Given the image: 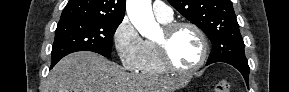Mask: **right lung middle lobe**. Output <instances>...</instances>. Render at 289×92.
<instances>
[{
  "label": "right lung middle lobe",
  "instance_id": "dd1d6c3e",
  "mask_svg": "<svg viewBox=\"0 0 289 92\" xmlns=\"http://www.w3.org/2000/svg\"><path fill=\"white\" fill-rule=\"evenodd\" d=\"M122 21L71 18L60 20L52 47V63L76 51L111 56L113 35Z\"/></svg>",
  "mask_w": 289,
  "mask_h": 92
}]
</instances>
